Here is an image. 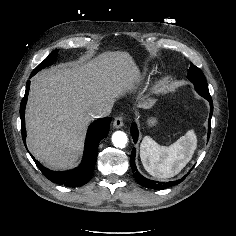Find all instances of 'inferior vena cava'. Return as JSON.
<instances>
[{"label": "inferior vena cava", "instance_id": "602c4592", "mask_svg": "<svg viewBox=\"0 0 236 236\" xmlns=\"http://www.w3.org/2000/svg\"><path fill=\"white\" fill-rule=\"evenodd\" d=\"M111 108L112 106L106 103L97 104L90 109L89 114L93 118L106 117L111 113Z\"/></svg>", "mask_w": 236, "mask_h": 236}]
</instances>
